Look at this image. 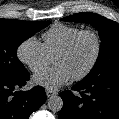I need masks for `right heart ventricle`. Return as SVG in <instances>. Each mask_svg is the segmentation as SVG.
<instances>
[{
    "label": "right heart ventricle",
    "mask_w": 119,
    "mask_h": 119,
    "mask_svg": "<svg viewBox=\"0 0 119 119\" xmlns=\"http://www.w3.org/2000/svg\"><path fill=\"white\" fill-rule=\"evenodd\" d=\"M80 30L81 28L77 26L61 23L55 24L47 30L42 35V44L50 58H54L57 52Z\"/></svg>",
    "instance_id": "right-heart-ventricle-1"
}]
</instances>
